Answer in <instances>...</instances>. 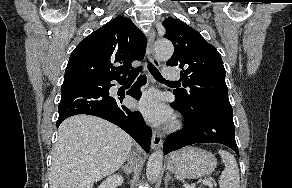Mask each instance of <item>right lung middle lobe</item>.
Segmentation results:
<instances>
[{
    "mask_svg": "<svg viewBox=\"0 0 292 188\" xmlns=\"http://www.w3.org/2000/svg\"><path fill=\"white\" fill-rule=\"evenodd\" d=\"M79 81L89 82V83H101L100 79H79Z\"/></svg>",
    "mask_w": 292,
    "mask_h": 188,
    "instance_id": "obj_1",
    "label": "right lung middle lobe"
}]
</instances>
